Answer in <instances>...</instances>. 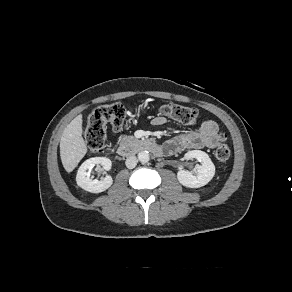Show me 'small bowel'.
<instances>
[{
	"mask_svg": "<svg viewBox=\"0 0 292 292\" xmlns=\"http://www.w3.org/2000/svg\"><path fill=\"white\" fill-rule=\"evenodd\" d=\"M165 118L156 116L152 119L154 126L163 125ZM218 125L213 120H204L194 131L179 134L159 147V153L166 151L169 154L182 152L186 149L214 148L217 144Z\"/></svg>",
	"mask_w": 292,
	"mask_h": 292,
	"instance_id": "obj_1",
	"label": "small bowel"
}]
</instances>
